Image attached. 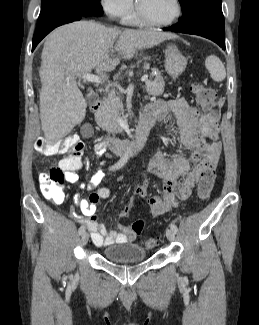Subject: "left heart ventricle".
I'll list each match as a JSON object with an SVG mask.
<instances>
[{"label": "left heart ventricle", "mask_w": 259, "mask_h": 325, "mask_svg": "<svg viewBox=\"0 0 259 325\" xmlns=\"http://www.w3.org/2000/svg\"><path fill=\"white\" fill-rule=\"evenodd\" d=\"M144 14L155 21H165L174 13L172 0H139Z\"/></svg>", "instance_id": "obj_1"}]
</instances>
